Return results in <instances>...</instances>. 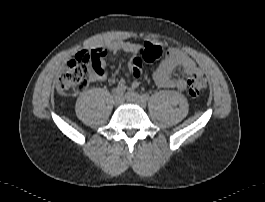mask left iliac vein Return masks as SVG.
I'll return each instance as SVG.
<instances>
[{
    "label": "left iliac vein",
    "instance_id": "obj_1",
    "mask_svg": "<svg viewBox=\"0 0 265 202\" xmlns=\"http://www.w3.org/2000/svg\"><path fill=\"white\" fill-rule=\"evenodd\" d=\"M125 97L129 103L136 104L142 108L146 106V102L141 98V96L133 91H128Z\"/></svg>",
    "mask_w": 265,
    "mask_h": 202
}]
</instances>
